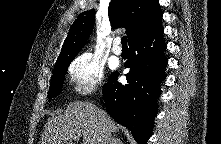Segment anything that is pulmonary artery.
<instances>
[{
	"instance_id": "1",
	"label": "pulmonary artery",
	"mask_w": 221,
	"mask_h": 144,
	"mask_svg": "<svg viewBox=\"0 0 221 144\" xmlns=\"http://www.w3.org/2000/svg\"><path fill=\"white\" fill-rule=\"evenodd\" d=\"M120 39L119 38H116L113 42V46H112V52L115 54V55H121L122 54V48L120 47Z\"/></svg>"
}]
</instances>
